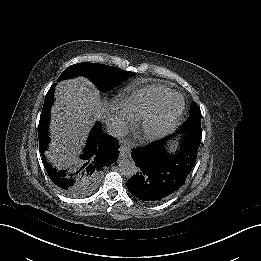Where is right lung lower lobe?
I'll return each instance as SVG.
<instances>
[{
  "mask_svg": "<svg viewBox=\"0 0 261 261\" xmlns=\"http://www.w3.org/2000/svg\"><path fill=\"white\" fill-rule=\"evenodd\" d=\"M54 88L55 83L51 86L46 95L39 121V150L42 155L46 152L49 143L47 126L49 121V110L54 98ZM118 148L119 144L117 140L108 134H103L101 125L97 123L90 134L84 154L81 156V158L90 159V164L86 170L87 175L96 177L104 166L111 165L117 159L119 153ZM44 165L53 183L63 191L72 192L74 190L75 187H73V184L75 183V180L73 178H65L63 173H58L46 162H44Z\"/></svg>",
  "mask_w": 261,
  "mask_h": 261,
  "instance_id": "right-lung-lower-lobe-1",
  "label": "right lung lower lobe"
}]
</instances>
